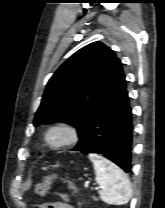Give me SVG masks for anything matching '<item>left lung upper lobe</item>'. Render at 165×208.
<instances>
[{"mask_svg": "<svg viewBox=\"0 0 165 208\" xmlns=\"http://www.w3.org/2000/svg\"><path fill=\"white\" fill-rule=\"evenodd\" d=\"M122 72L121 61L103 43L83 47L49 80L34 125L66 122L75 126L80 136Z\"/></svg>", "mask_w": 165, "mask_h": 208, "instance_id": "1", "label": "left lung upper lobe"}]
</instances>
